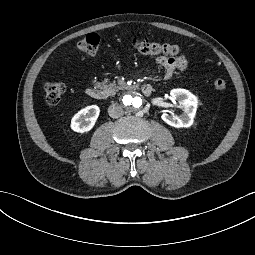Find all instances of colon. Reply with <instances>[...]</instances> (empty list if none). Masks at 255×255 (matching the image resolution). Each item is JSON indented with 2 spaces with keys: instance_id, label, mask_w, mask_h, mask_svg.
<instances>
[{
  "instance_id": "5ec220e1",
  "label": "colon",
  "mask_w": 255,
  "mask_h": 255,
  "mask_svg": "<svg viewBox=\"0 0 255 255\" xmlns=\"http://www.w3.org/2000/svg\"><path fill=\"white\" fill-rule=\"evenodd\" d=\"M132 48L145 55H167L175 56L182 52L181 47L169 43H159L148 39L134 38L131 41ZM76 50L79 53L96 57L100 54V39L98 35L91 33L86 35L76 44ZM216 90L222 91L226 87L223 79L214 81ZM45 99L49 105H56L66 92V85L61 81H48L44 85Z\"/></svg>"
}]
</instances>
